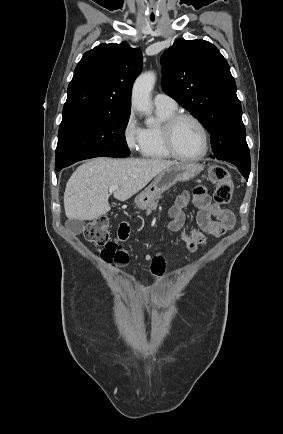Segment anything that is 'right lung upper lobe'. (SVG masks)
Listing matches in <instances>:
<instances>
[{"label":"right lung upper lobe","mask_w":283,"mask_h":434,"mask_svg":"<svg viewBox=\"0 0 283 434\" xmlns=\"http://www.w3.org/2000/svg\"><path fill=\"white\" fill-rule=\"evenodd\" d=\"M142 59L140 49L126 42L100 44L86 52L68 86L63 118L130 112V93Z\"/></svg>","instance_id":"obj_1"}]
</instances>
